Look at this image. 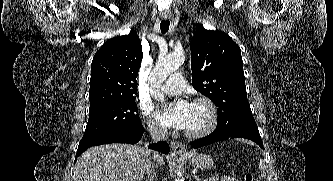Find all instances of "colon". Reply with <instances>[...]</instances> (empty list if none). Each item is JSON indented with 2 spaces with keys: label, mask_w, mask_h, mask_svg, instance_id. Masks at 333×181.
I'll return each instance as SVG.
<instances>
[{
  "label": "colon",
  "mask_w": 333,
  "mask_h": 181,
  "mask_svg": "<svg viewBox=\"0 0 333 181\" xmlns=\"http://www.w3.org/2000/svg\"><path fill=\"white\" fill-rule=\"evenodd\" d=\"M243 181H253V175L251 173L245 174Z\"/></svg>",
  "instance_id": "colon-1"
}]
</instances>
